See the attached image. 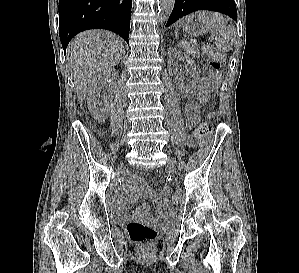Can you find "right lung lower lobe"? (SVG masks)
<instances>
[{"instance_id":"98d812e1","label":"right lung lower lobe","mask_w":299,"mask_h":273,"mask_svg":"<svg viewBox=\"0 0 299 273\" xmlns=\"http://www.w3.org/2000/svg\"><path fill=\"white\" fill-rule=\"evenodd\" d=\"M132 0H59V36L64 51L88 29H107L129 43Z\"/></svg>"}]
</instances>
